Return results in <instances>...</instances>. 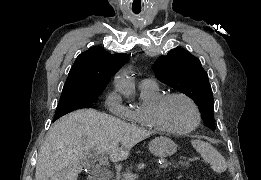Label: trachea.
I'll use <instances>...</instances> for the list:
<instances>
[{"label":"trachea","instance_id":"1","mask_svg":"<svg viewBox=\"0 0 261 180\" xmlns=\"http://www.w3.org/2000/svg\"><path fill=\"white\" fill-rule=\"evenodd\" d=\"M134 13H140L139 11H134Z\"/></svg>","mask_w":261,"mask_h":180}]
</instances>
